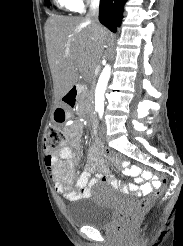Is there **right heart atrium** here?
Returning <instances> with one entry per match:
<instances>
[{"label": "right heart atrium", "instance_id": "d8ad5b80", "mask_svg": "<svg viewBox=\"0 0 183 246\" xmlns=\"http://www.w3.org/2000/svg\"><path fill=\"white\" fill-rule=\"evenodd\" d=\"M75 4V6L77 7V9H82L85 2H91L93 0H72Z\"/></svg>", "mask_w": 183, "mask_h": 246}]
</instances>
